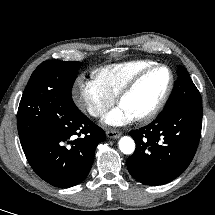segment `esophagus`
Listing matches in <instances>:
<instances>
[{"label": "esophagus", "mask_w": 215, "mask_h": 215, "mask_svg": "<svg viewBox=\"0 0 215 215\" xmlns=\"http://www.w3.org/2000/svg\"><path fill=\"white\" fill-rule=\"evenodd\" d=\"M106 135L108 138L117 139L121 136V132L116 131V130H108L106 132Z\"/></svg>", "instance_id": "obj_1"}]
</instances>
